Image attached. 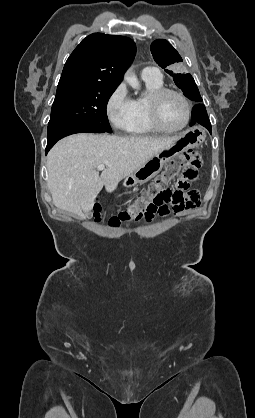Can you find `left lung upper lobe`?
Segmentation results:
<instances>
[{"mask_svg":"<svg viewBox=\"0 0 255 418\" xmlns=\"http://www.w3.org/2000/svg\"><path fill=\"white\" fill-rule=\"evenodd\" d=\"M151 53L160 67L163 69L166 67L172 68L169 70L165 69V71L173 77L175 84L183 91L187 98L195 102L202 101L198 87L191 74L175 68L182 62V58L167 40L158 39L152 42Z\"/></svg>","mask_w":255,"mask_h":418,"instance_id":"1","label":"left lung upper lobe"}]
</instances>
